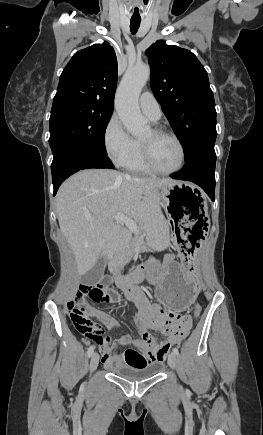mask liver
<instances>
[{
	"label": "liver",
	"instance_id": "1",
	"mask_svg": "<svg viewBox=\"0 0 263 435\" xmlns=\"http://www.w3.org/2000/svg\"><path fill=\"white\" fill-rule=\"evenodd\" d=\"M172 182L108 169L82 170L66 180L56 196V211L78 273L85 275L100 258L112 259L127 246L131 233L114 222L118 213L132 217L154 249H166L169 225L161 211L159 190Z\"/></svg>",
	"mask_w": 263,
	"mask_h": 435
}]
</instances>
